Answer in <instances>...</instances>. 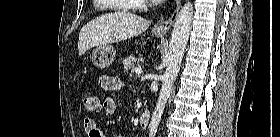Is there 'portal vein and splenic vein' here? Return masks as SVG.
Returning a JSON list of instances; mask_svg holds the SVG:
<instances>
[{
    "instance_id": "18ae733b",
    "label": "portal vein and splenic vein",
    "mask_w": 280,
    "mask_h": 137,
    "mask_svg": "<svg viewBox=\"0 0 280 137\" xmlns=\"http://www.w3.org/2000/svg\"><path fill=\"white\" fill-rule=\"evenodd\" d=\"M135 73H136L137 75L141 74V73H142V69H141V68H136V69H135Z\"/></svg>"
}]
</instances>
